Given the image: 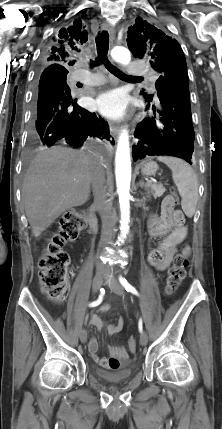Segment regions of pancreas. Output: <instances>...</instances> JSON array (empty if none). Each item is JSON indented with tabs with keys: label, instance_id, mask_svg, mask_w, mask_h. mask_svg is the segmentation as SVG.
<instances>
[{
	"label": "pancreas",
	"instance_id": "cf45deb5",
	"mask_svg": "<svg viewBox=\"0 0 222 429\" xmlns=\"http://www.w3.org/2000/svg\"><path fill=\"white\" fill-rule=\"evenodd\" d=\"M155 198L161 197L165 192V187L162 184L151 183L147 186Z\"/></svg>",
	"mask_w": 222,
	"mask_h": 429
}]
</instances>
